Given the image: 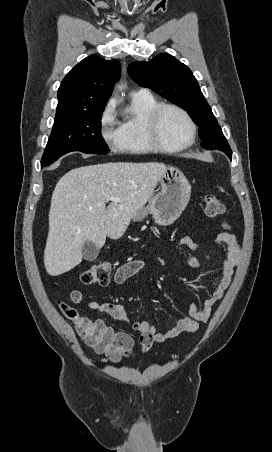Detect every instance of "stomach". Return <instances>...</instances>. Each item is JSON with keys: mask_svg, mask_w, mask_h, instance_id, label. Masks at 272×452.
Listing matches in <instances>:
<instances>
[{"mask_svg": "<svg viewBox=\"0 0 272 452\" xmlns=\"http://www.w3.org/2000/svg\"><path fill=\"white\" fill-rule=\"evenodd\" d=\"M158 183L160 192L153 196L146 207L132 217L134 222L145 219L148 214L161 226L173 224L186 208L191 195V186L185 175L176 167L168 166Z\"/></svg>", "mask_w": 272, "mask_h": 452, "instance_id": "obj_1", "label": "stomach"}]
</instances>
